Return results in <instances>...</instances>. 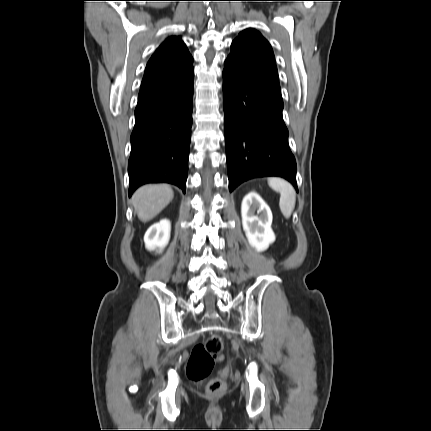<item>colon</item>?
Listing matches in <instances>:
<instances>
[{"label": "colon", "instance_id": "obj_1", "mask_svg": "<svg viewBox=\"0 0 431 431\" xmlns=\"http://www.w3.org/2000/svg\"><path fill=\"white\" fill-rule=\"evenodd\" d=\"M223 350V340L218 334H210L207 339L194 346L187 363V376L194 382L202 383L206 381L213 370L215 361L218 359L222 363L225 358L221 354ZM224 389V381L220 378H213L207 383V392L210 395H217Z\"/></svg>", "mask_w": 431, "mask_h": 431}]
</instances>
